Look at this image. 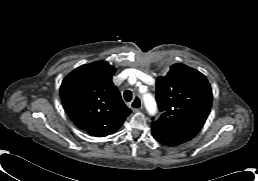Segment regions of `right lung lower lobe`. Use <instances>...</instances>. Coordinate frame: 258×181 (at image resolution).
<instances>
[{
    "label": "right lung lower lobe",
    "mask_w": 258,
    "mask_h": 181,
    "mask_svg": "<svg viewBox=\"0 0 258 181\" xmlns=\"http://www.w3.org/2000/svg\"><path fill=\"white\" fill-rule=\"evenodd\" d=\"M118 128H119V127H118ZM118 128H115V129L111 130V131L109 132V134H112V133L115 132ZM109 134H107V135H109ZM107 135H104V136H107Z\"/></svg>",
    "instance_id": "98d812e1"
}]
</instances>
